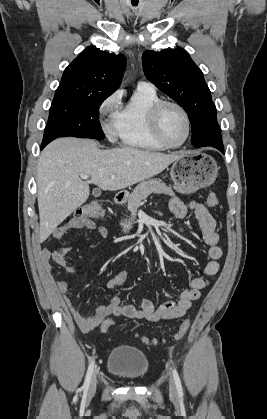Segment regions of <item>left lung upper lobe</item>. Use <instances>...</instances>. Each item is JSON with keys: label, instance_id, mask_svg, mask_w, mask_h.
I'll use <instances>...</instances> for the list:
<instances>
[{"label": "left lung upper lobe", "instance_id": "1", "mask_svg": "<svg viewBox=\"0 0 267 419\" xmlns=\"http://www.w3.org/2000/svg\"><path fill=\"white\" fill-rule=\"evenodd\" d=\"M142 64L147 79L187 112L192 124V145L207 141L210 134L215 143L223 145L211 92L189 54L182 48L145 51Z\"/></svg>", "mask_w": 267, "mask_h": 419}]
</instances>
